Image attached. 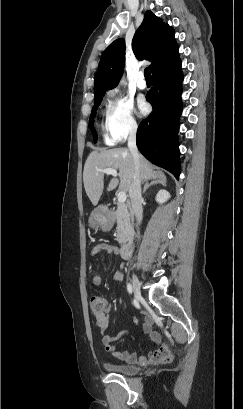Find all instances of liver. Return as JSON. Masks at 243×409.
Instances as JSON below:
<instances>
[{
  "label": "liver",
  "mask_w": 243,
  "mask_h": 409,
  "mask_svg": "<svg viewBox=\"0 0 243 409\" xmlns=\"http://www.w3.org/2000/svg\"><path fill=\"white\" fill-rule=\"evenodd\" d=\"M141 180L166 179L162 172L154 170V166L140 155ZM119 170L120 183L116 178L110 180L107 190L111 191L119 183V190L129 192L134 176V160L128 149H99L92 151L84 165L83 182L86 194L92 204L96 206L104 189L103 169Z\"/></svg>",
  "instance_id": "obj_1"
}]
</instances>
